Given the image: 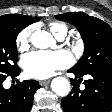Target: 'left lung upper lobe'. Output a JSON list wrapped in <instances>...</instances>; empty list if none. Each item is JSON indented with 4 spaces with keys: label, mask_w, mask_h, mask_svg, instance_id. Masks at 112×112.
Instances as JSON below:
<instances>
[{
    "label": "left lung upper lobe",
    "mask_w": 112,
    "mask_h": 112,
    "mask_svg": "<svg viewBox=\"0 0 112 112\" xmlns=\"http://www.w3.org/2000/svg\"><path fill=\"white\" fill-rule=\"evenodd\" d=\"M55 17L73 24L84 41V55L72 67L73 70L85 74L112 67V28L107 23L83 12H70Z\"/></svg>",
    "instance_id": "1"
}]
</instances>
